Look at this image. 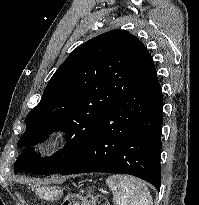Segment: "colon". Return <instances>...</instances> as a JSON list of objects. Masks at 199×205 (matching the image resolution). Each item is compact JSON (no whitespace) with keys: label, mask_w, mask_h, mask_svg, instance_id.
<instances>
[{"label":"colon","mask_w":199,"mask_h":205,"mask_svg":"<svg viewBox=\"0 0 199 205\" xmlns=\"http://www.w3.org/2000/svg\"><path fill=\"white\" fill-rule=\"evenodd\" d=\"M62 205H108L107 200L104 197H87L80 196H68L63 200Z\"/></svg>","instance_id":"1"}]
</instances>
